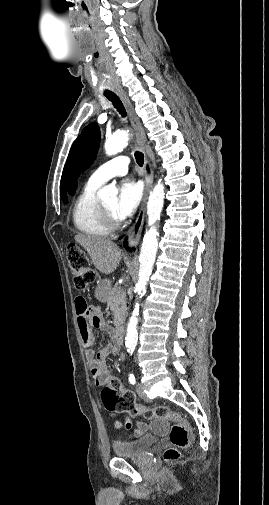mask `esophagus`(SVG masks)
I'll return each instance as SVG.
<instances>
[{"instance_id":"obj_1","label":"esophagus","mask_w":269,"mask_h":505,"mask_svg":"<svg viewBox=\"0 0 269 505\" xmlns=\"http://www.w3.org/2000/svg\"><path fill=\"white\" fill-rule=\"evenodd\" d=\"M117 94L120 96L121 100L123 101V103L125 105L130 122H131V124L134 128V131H135L137 143H138L139 147L146 154V152H145V144H146L145 132H144V129L141 125L139 118L136 116V114L134 112L133 105H132L130 99L128 98L127 94L124 92V90L118 89ZM145 160L147 163L150 162L147 155H146ZM152 184H153L152 173L146 174L145 188H144L141 207H140V210H139V213L137 215L135 222L133 223V225L131 226V228L128 231V234H129L128 243H129L130 247L136 246L140 240L142 228H143V224H144V218H145L146 202H147L150 190L152 188Z\"/></svg>"}]
</instances>
